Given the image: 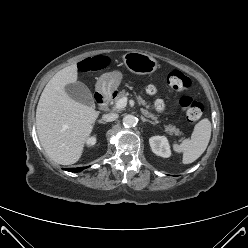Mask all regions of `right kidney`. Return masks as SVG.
Listing matches in <instances>:
<instances>
[{"label":"right kidney","instance_id":"obj_1","mask_svg":"<svg viewBox=\"0 0 248 248\" xmlns=\"http://www.w3.org/2000/svg\"><path fill=\"white\" fill-rule=\"evenodd\" d=\"M95 143H96V137H90V138H88V140H87V145L88 146H93V145H95Z\"/></svg>","mask_w":248,"mask_h":248}]
</instances>
